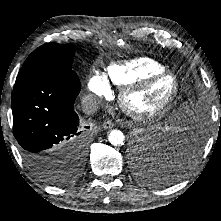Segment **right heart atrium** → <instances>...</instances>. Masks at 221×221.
I'll return each mask as SVG.
<instances>
[{"label": "right heart atrium", "instance_id": "obj_1", "mask_svg": "<svg viewBox=\"0 0 221 221\" xmlns=\"http://www.w3.org/2000/svg\"><path fill=\"white\" fill-rule=\"evenodd\" d=\"M88 90L98 97L107 96L110 93V88L105 77L99 73H94L88 81Z\"/></svg>", "mask_w": 221, "mask_h": 221}]
</instances>
